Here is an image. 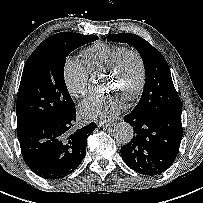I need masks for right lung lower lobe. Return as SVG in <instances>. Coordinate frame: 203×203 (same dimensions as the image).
Instances as JSON below:
<instances>
[{"mask_svg":"<svg viewBox=\"0 0 203 203\" xmlns=\"http://www.w3.org/2000/svg\"><path fill=\"white\" fill-rule=\"evenodd\" d=\"M75 120L76 108L17 131L22 156L35 174L56 180L69 175L79 166L85 157L87 137L96 124L91 122L74 131Z\"/></svg>","mask_w":203,"mask_h":203,"instance_id":"right-lung-lower-lobe-1","label":"right lung lower lobe"}]
</instances>
